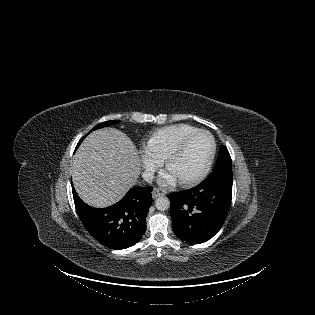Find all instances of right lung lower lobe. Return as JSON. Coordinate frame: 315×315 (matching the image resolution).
Here are the masks:
<instances>
[{
	"mask_svg": "<svg viewBox=\"0 0 315 315\" xmlns=\"http://www.w3.org/2000/svg\"><path fill=\"white\" fill-rule=\"evenodd\" d=\"M77 213L87 231L102 245L121 250L136 244L146 230V215L152 204L151 187H133L116 204L93 208L72 187Z\"/></svg>",
	"mask_w": 315,
	"mask_h": 315,
	"instance_id": "right-lung-lower-lobe-1",
	"label": "right lung lower lobe"
}]
</instances>
